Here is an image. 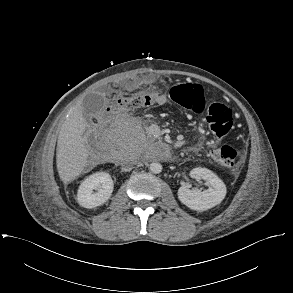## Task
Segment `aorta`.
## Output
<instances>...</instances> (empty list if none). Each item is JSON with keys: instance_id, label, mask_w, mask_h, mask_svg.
Returning a JSON list of instances; mask_svg holds the SVG:
<instances>
[{"instance_id": "aorta-1", "label": "aorta", "mask_w": 293, "mask_h": 293, "mask_svg": "<svg viewBox=\"0 0 293 293\" xmlns=\"http://www.w3.org/2000/svg\"><path fill=\"white\" fill-rule=\"evenodd\" d=\"M149 169L151 172L159 174L162 171V165L159 162H152Z\"/></svg>"}]
</instances>
